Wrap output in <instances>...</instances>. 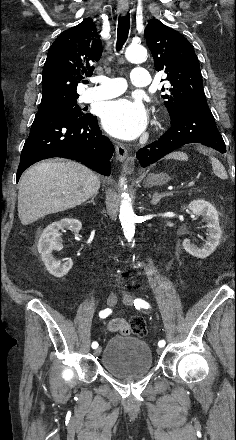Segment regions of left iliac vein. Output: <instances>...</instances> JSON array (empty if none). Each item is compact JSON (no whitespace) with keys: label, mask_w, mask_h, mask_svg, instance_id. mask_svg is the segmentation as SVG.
Instances as JSON below:
<instances>
[{"label":"left iliac vein","mask_w":236,"mask_h":440,"mask_svg":"<svg viewBox=\"0 0 236 440\" xmlns=\"http://www.w3.org/2000/svg\"><path fill=\"white\" fill-rule=\"evenodd\" d=\"M123 303L125 305H132L133 304V297L130 294H128V293L124 294L123 295ZM157 352L160 354V353L163 352V349L161 347H159L157 349Z\"/></svg>","instance_id":"left-iliac-vein-1"}]
</instances>
